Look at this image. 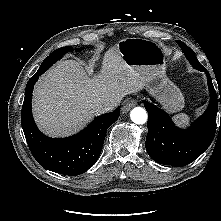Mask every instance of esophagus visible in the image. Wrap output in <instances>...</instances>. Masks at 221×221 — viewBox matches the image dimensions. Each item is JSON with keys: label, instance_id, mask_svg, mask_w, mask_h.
Listing matches in <instances>:
<instances>
[{"label": "esophagus", "instance_id": "esophagus-1", "mask_svg": "<svg viewBox=\"0 0 221 221\" xmlns=\"http://www.w3.org/2000/svg\"><path fill=\"white\" fill-rule=\"evenodd\" d=\"M135 105H136V100H134L132 98H128V99L124 100V102L122 104V112L127 113Z\"/></svg>", "mask_w": 221, "mask_h": 221}]
</instances>
